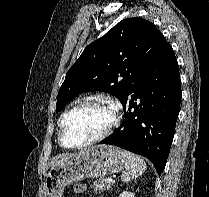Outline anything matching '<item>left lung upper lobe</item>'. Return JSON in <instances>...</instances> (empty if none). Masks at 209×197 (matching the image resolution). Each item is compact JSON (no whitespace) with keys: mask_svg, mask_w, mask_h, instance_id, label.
<instances>
[{"mask_svg":"<svg viewBox=\"0 0 209 197\" xmlns=\"http://www.w3.org/2000/svg\"><path fill=\"white\" fill-rule=\"evenodd\" d=\"M165 42L163 34L147 20L120 21L89 44L69 69L58 92L56 110L88 91H104L123 102Z\"/></svg>","mask_w":209,"mask_h":197,"instance_id":"5c2ea615","label":"left lung upper lobe"}]
</instances>
